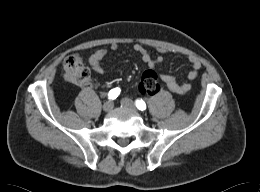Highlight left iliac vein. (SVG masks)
<instances>
[{"label": "left iliac vein", "mask_w": 260, "mask_h": 192, "mask_svg": "<svg viewBox=\"0 0 260 192\" xmlns=\"http://www.w3.org/2000/svg\"><path fill=\"white\" fill-rule=\"evenodd\" d=\"M122 104L125 105L126 107L130 108V109H134L133 102L128 98L122 99Z\"/></svg>", "instance_id": "1"}]
</instances>
